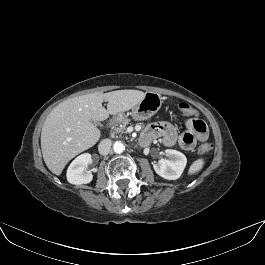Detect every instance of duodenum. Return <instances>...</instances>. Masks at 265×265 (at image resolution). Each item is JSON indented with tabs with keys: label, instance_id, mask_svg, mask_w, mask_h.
Returning <instances> with one entry per match:
<instances>
[{
	"label": "duodenum",
	"instance_id": "obj_1",
	"mask_svg": "<svg viewBox=\"0 0 265 265\" xmlns=\"http://www.w3.org/2000/svg\"><path fill=\"white\" fill-rule=\"evenodd\" d=\"M114 123V120H110V124H113Z\"/></svg>",
	"mask_w": 265,
	"mask_h": 265
}]
</instances>
